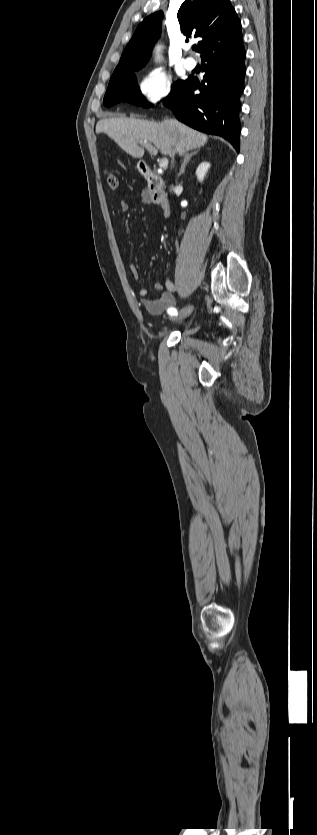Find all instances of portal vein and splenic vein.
<instances>
[{
  "label": "portal vein and splenic vein",
  "mask_w": 317,
  "mask_h": 835,
  "mask_svg": "<svg viewBox=\"0 0 317 835\" xmlns=\"http://www.w3.org/2000/svg\"><path fill=\"white\" fill-rule=\"evenodd\" d=\"M142 145H143V146H144V147H145V148H146V149H147V150H148L151 154H153V155H156V154H157V150H156V149H155V148H154L151 144H149L148 142L144 141V142H142ZM159 166H160L161 168H165V167H167V166H168V159H167V158H162V159L160 160V162H159Z\"/></svg>",
  "instance_id": "1"
}]
</instances>
